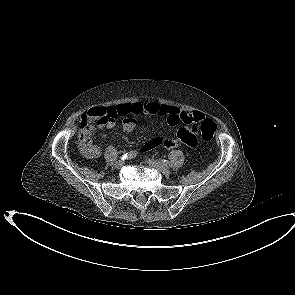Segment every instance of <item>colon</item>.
Returning <instances> with one entry per match:
<instances>
[{"mask_svg": "<svg viewBox=\"0 0 295 295\" xmlns=\"http://www.w3.org/2000/svg\"><path fill=\"white\" fill-rule=\"evenodd\" d=\"M108 118V112L106 108L98 107L85 113L81 118L82 130L79 134V144L82 150H87L89 146L90 127L94 126L98 122L104 121ZM200 131L201 137L205 141L212 140L217 125L212 119H202L195 124Z\"/></svg>", "mask_w": 295, "mask_h": 295, "instance_id": "5ec220e1", "label": "colon"}]
</instances>
